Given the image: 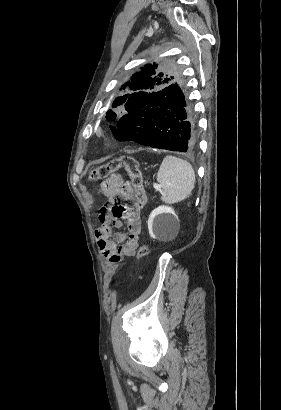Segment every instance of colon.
<instances>
[{"label":"colon","instance_id":"obj_1","mask_svg":"<svg viewBox=\"0 0 281 410\" xmlns=\"http://www.w3.org/2000/svg\"><path fill=\"white\" fill-rule=\"evenodd\" d=\"M124 170L131 178V184L134 190V199L127 194H118L111 198V210L114 216L124 214H136L141 210L147 200V192L143 183V176L139 169L138 163L132 157H119L106 164L100 165L91 170L89 178L91 180H104L111 174ZM149 248L142 245L139 248L137 259L142 264L148 256Z\"/></svg>","mask_w":281,"mask_h":410}]
</instances>
